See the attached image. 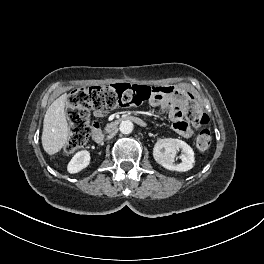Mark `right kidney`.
<instances>
[{"label": "right kidney", "mask_w": 264, "mask_h": 264, "mask_svg": "<svg viewBox=\"0 0 264 264\" xmlns=\"http://www.w3.org/2000/svg\"><path fill=\"white\" fill-rule=\"evenodd\" d=\"M90 153L87 150L77 152L67 165L69 173H78L90 164Z\"/></svg>", "instance_id": "obj_1"}]
</instances>
